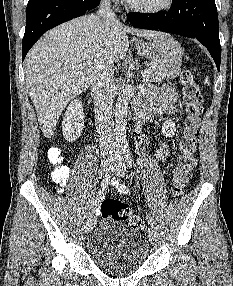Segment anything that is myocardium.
<instances>
[{
    "mask_svg": "<svg viewBox=\"0 0 233 286\" xmlns=\"http://www.w3.org/2000/svg\"><path fill=\"white\" fill-rule=\"evenodd\" d=\"M128 4L131 9H133L136 12L143 13V14H158L164 11H167L170 9L173 5V0H164L163 3L156 7H144L135 4L134 2L127 0Z\"/></svg>",
    "mask_w": 233,
    "mask_h": 286,
    "instance_id": "obj_1",
    "label": "myocardium"
}]
</instances>
